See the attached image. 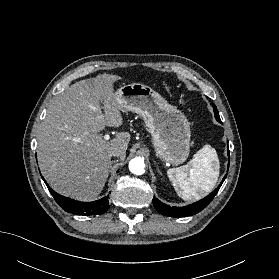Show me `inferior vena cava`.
<instances>
[{"label": "inferior vena cava", "instance_id": "inferior-vena-cava-1", "mask_svg": "<svg viewBox=\"0 0 279 279\" xmlns=\"http://www.w3.org/2000/svg\"><path fill=\"white\" fill-rule=\"evenodd\" d=\"M120 155H121V150L119 149H114L109 153V157H119Z\"/></svg>", "mask_w": 279, "mask_h": 279}]
</instances>
